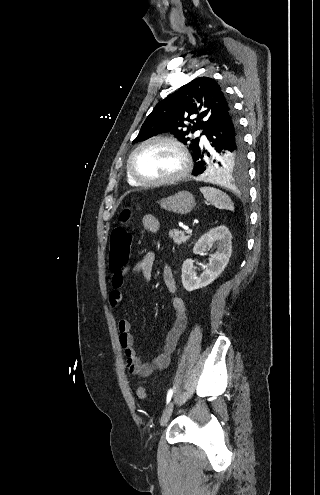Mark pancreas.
I'll return each mask as SVG.
<instances>
[{
    "label": "pancreas",
    "instance_id": "cf45deb5",
    "mask_svg": "<svg viewBox=\"0 0 320 495\" xmlns=\"http://www.w3.org/2000/svg\"><path fill=\"white\" fill-rule=\"evenodd\" d=\"M169 237L173 239L175 244L181 245L190 238V235L186 236L183 231L178 229H172L169 231Z\"/></svg>",
    "mask_w": 320,
    "mask_h": 495
}]
</instances>
